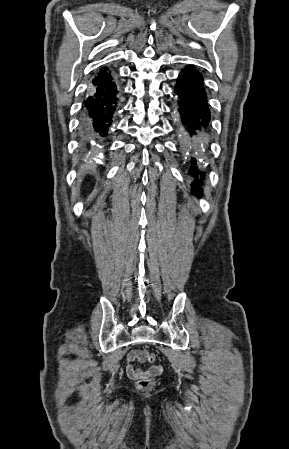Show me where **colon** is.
Instances as JSON below:
<instances>
[{"label":"colon","instance_id":"1","mask_svg":"<svg viewBox=\"0 0 289 449\" xmlns=\"http://www.w3.org/2000/svg\"><path fill=\"white\" fill-rule=\"evenodd\" d=\"M146 360L149 362H154L156 359V355L153 352H145ZM137 387L141 390L151 389L154 385V379L152 376L142 377L137 379Z\"/></svg>","mask_w":289,"mask_h":449}]
</instances>
